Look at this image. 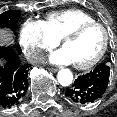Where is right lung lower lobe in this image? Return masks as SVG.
I'll return each instance as SVG.
<instances>
[{
  "label": "right lung lower lobe",
  "mask_w": 117,
  "mask_h": 117,
  "mask_svg": "<svg viewBox=\"0 0 117 117\" xmlns=\"http://www.w3.org/2000/svg\"><path fill=\"white\" fill-rule=\"evenodd\" d=\"M20 46L0 47V59L6 61L0 66V108H11L18 105L28 89V73L30 64H22L19 60Z\"/></svg>",
  "instance_id": "1"
}]
</instances>
